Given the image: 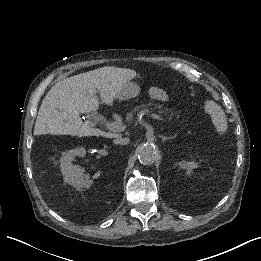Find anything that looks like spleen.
<instances>
[{"label":"spleen","mask_w":261,"mask_h":261,"mask_svg":"<svg viewBox=\"0 0 261 261\" xmlns=\"http://www.w3.org/2000/svg\"><path fill=\"white\" fill-rule=\"evenodd\" d=\"M205 110L211 115L217 132L223 134L228 128L225 112L213 101L206 103Z\"/></svg>","instance_id":"1"}]
</instances>
